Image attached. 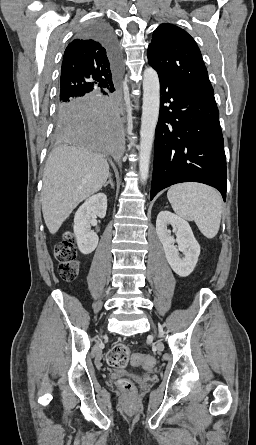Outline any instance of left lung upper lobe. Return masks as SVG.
<instances>
[{"mask_svg": "<svg viewBox=\"0 0 256 445\" xmlns=\"http://www.w3.org/2000/svg\"><path fill=\"white\" fill-rule=\"evenodd\" d=\"M148 63L159 77L173 78L196 90L214 94L196 42L175 25L161 24L154 31L148 48Z\"/></svg>", "mask_w": 256, "mask_h": 445, "instance_id": "5c2ea615", "label": "left lung upper lobe"}]
</instances>
